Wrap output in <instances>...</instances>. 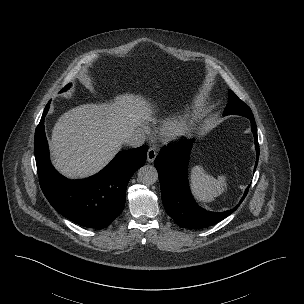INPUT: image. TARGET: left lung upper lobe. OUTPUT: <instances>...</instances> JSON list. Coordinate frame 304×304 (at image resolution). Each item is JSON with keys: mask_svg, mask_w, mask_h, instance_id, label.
I'll use <instances>...</instances> for the list:
<instances>
[{"mask_svg": "<svg viewBox=\"0 0 304 304\" xmlns=\"http://www.w3.org/2000/svg\"><path fill=\"white\" fill-rule=\"evenodd\" d=\"M241 115L247 118H254L251 109L240 100L232 91H229L228 104L224 110L223 115Z\"/></svg>", "mask_w": 304, "mask_h": 304, "instance_id": "obj_1", "label": "left lung upper lobe"}]
</instances>
